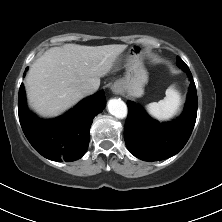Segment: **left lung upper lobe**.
<instances>
[{
  "instance_id": "obj_1",
  "label": "left lung upper lobe",
  "mask_w": 222,
  "mask_h": 222,
  "mask_svg": "<svg viewBox=\"0 0 222 222\" xmlns=\"http://www.w3.org/2000/svg\"><path fill=\"white\" fill-rule=\"evenodd\" d=\"M177 66L183 70L189 69L188 66L181 60V58L177 57Z\"/></svg>"
}]
</instances>
